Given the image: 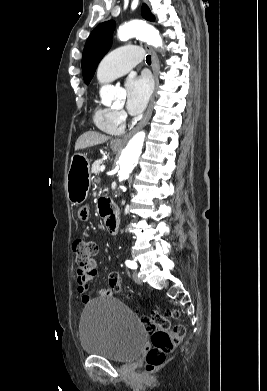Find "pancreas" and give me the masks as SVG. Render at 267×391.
Wrapping results in <instances>:
<instances>
[{
    "label": "pancreas",
    "instance_id": "1",
    "mask_svg": "<svg viewBox=\"0 0 267 391\" xmlns=\"http://www.w3.org/2000/svg\"><path fill=\"white\" fill-rule=\"evenodd\" d=\"M102 163H103V160H102V159L96 160V161L92 164L91 172L97 175V174L99 173V171H100V166H101Z\"/></svg>",
    "mask_w": 267,
    "mask_h": 391
}]
</instances>
